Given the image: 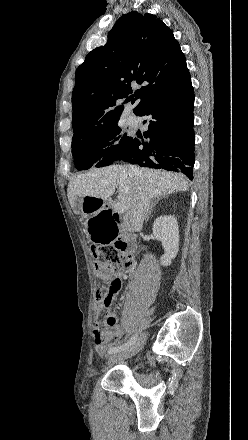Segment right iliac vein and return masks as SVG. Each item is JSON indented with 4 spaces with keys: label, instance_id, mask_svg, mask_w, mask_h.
Instances as JSON below:
<instances>
[{
    "label": "right iliac vein",
    "instance_id": "1",
    "mask_svg": "<svg viewBox=\"0 0 248 440\" xmlns=\"http://www.w3.org/2000/svg\"><path fill=\"white\" fill-rule=\"evenodd\" d=\"M146 340V335L143 333L138 340L132 344L129 348L113 353L109 357V362H116L118 360H124L137 354L143 347Z\"/></svg>",
    "mask_w": 248,
    "mask_h": 440
}]
</instances>
